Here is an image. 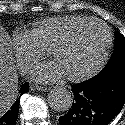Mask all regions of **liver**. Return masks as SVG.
<instances>
[{
  "instance_id": "obj_1",
  "label": "liver",
  "mask_w": 125,
  "mask_h": 125,
  "mask_svg": "<svg viewBox=\"0 0 125 125\" xmlns=\"http://www.w3.org/2000/svg\"><path fill=\"white\" fill-rule=\"evenodd\" d=\"M11 39L0 26V116L16 98L18 75L11 57Z\"/></svg>"
}]
</instances>
